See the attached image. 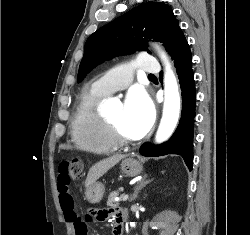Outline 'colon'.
<instances>
[{
  "label": "colon",
  "mask_w": 250,
  "mask_h": 235,
  "mask_svg": "<svg viewBox=\"0 0 250 235\" xmlns=\"http://www.w3.org/2000/svg\"><path fill=\"white\" fill-rule=\"evenodd\" d=\"M83 175V162L81 159L64 160L59 164L58 184L63 189H70L73 182L81 179ZM98 212L92 211L88 221H95ZM76 235H86L87 224L84 221L77 220L75 222Z\"/></svg>",
  "instance_id": "colon-1"
}]
</instances>
